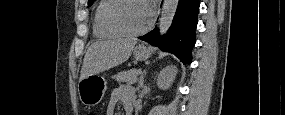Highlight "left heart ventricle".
Masks as SVG:
<instances>
[{"label": "left heart ventricle", "mask_w": 285, "mask_h": 115, "mask_svg": "<svg viewBox=\"0 0 285 115\" xmlns=\"http://www.w3.org/2000/svg\"><path fill=\"white\" fill-rule=\"evenodd\" d=\"M115 18L126 29L138 31L147 24L146 6L139 1L126 2L116 11Z\"/></svg>", "instance_id": "1"}]
</instances>
